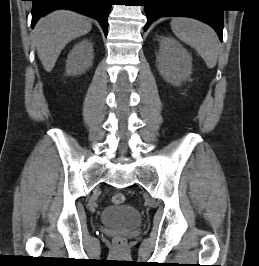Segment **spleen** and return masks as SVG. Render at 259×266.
<instances>
[{"instance_id":"3e777b00","label":"spleen","mask_w":259,"mask_h":266,"mask_svg":"<svg viewBox=\"0 0 259 266\" xmlns=\"http://www.w3.org/2000/svg\"><path fill=\"white\" fill-rule=\"evenodd\" d=\"M170 25L173 33L194 48L209 69L216 66L219 46L215 31L210 26L186 17L173 18Z\"/></svg>"}]
</instances>
